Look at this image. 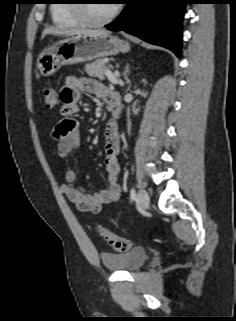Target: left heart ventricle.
I'll return each instance as SVG.
<instances>
[{"label": "left heart ventricle", "instance_id": "left-heart-ventricle-1", "mask_svg": "<svg viewBox=\"0 0 236 321\" xmlns=\"http://www.w3.org/2000/svg\"><path fill=\"white\" fill-rule=\"evenodd\" d=\"M114 4L110 0H90L88 14L94 19H103L112 11Z\"/></svg>", "mask_w": 236, "mask_h": 321}]
</instances>
